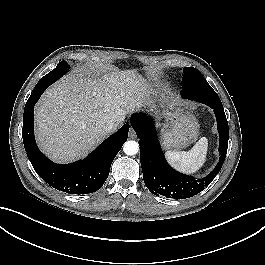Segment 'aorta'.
I'll return each mask as SVG.
<instances>
[{
    "instance_id": "obj_1",
    "label": "aorta",
    "mask_w": 265,
    "mask_h": 265,
    "mask_svg": "<svg viewBox=\"0 0 265 265\" xmlns=\"http://www.w3.org/2000/svg\"><path fill=\"white\" fill-rule=\"evenodd\" d=\"M123 151L126 155H135L139 151V144L133 140L126 141L123 145Z\"/></svg>"
}]
</instances>
